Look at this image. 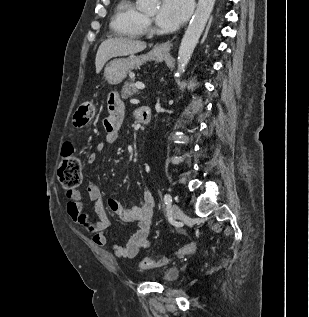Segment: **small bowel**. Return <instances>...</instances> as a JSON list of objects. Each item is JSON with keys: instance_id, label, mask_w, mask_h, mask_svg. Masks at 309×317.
Listing matches in <instances>:
<instances>
[{"instance_id": "obj_1", "label": "small bowel", "mask_w": 309, "mask_h": 317, "mask_svg": "<svg viewBox=\"0 0 309 317\" xmlns=\"http://www.w3.org/2000/svg\"><path fill=\"white\" fill-rule=\"evenodd\" d=\"M108 110L109 114L103 122L106 132L105 141L99 142L95 151L88 156L87 162L89 164H94L97 161L99 154L104 151L106 145L114 144L119 139V129L124 118V103L116 93L109 95ZM85 196L88 201L97 205L98 219L91 220L84 211L82 194L79 191L70 190L66 193V210L71 220L81 227L98 247L109 250L119 258L134 257L149 233L155 205L152 193L149 191L143 193L141 206H126L114 198L108 200V209L116 215L119 221L136 223L137 225L136 231L125 245L112 244L111 246H108V228L111 222L107 210L102 204V194L99 186L94 182H89Z\"/></svg>"}]
</instances>
